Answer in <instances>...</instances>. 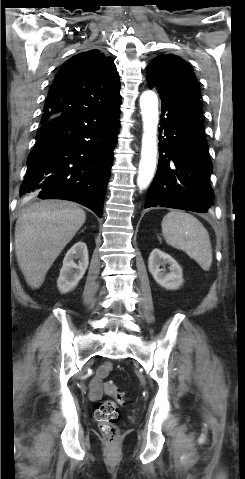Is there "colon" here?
Here are the masks:
<instances>
[{"instance_id": "obj_1", "label": "colon", "mask_w": 245, "mask_h": 479, "mask_svg": "<svg viewBox=\"0 0 245 479\" xmlns=\"http://www.w3.org/2000/svg\"><path fill=\"white\" fill-rule=\"evenodd\" d=\"M105 392L115 397V401L106 400L98 402L94 406L93 414L103 436L110 442L114 441L119 434L117 423L120 418L119 405L126 403L125 394L112 383L107 382Z\"/></svg>"}]
</instances>
